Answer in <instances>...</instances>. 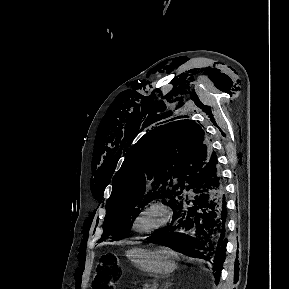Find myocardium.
<instances>
[{
    "instance_id": "1",
    "label": "myocardium",
    "mask_w": 289,
    "mask_h": 289,
    "mask_svg": "<svg viewBox=\"0 0 289 289\" xmlns=\"http://www.w3.org/2000/svg\"><path fill=\"white\" fill-rule=\"evenodd\" d=\"M151 210H158L161 213L160 223L157 224L156 226H153L152 228H149V229H139L137 226L138 221L140 220V218L143 215H145L147 212H149ZM171 216H172V211L166 203H164L162 201H152V202L146 204L138 212V214L134 218L132 228L135 232H137L139 234H144V235L153 234V233L165 228L169 224V222L171 220Z\"/></svg>"
}]
</instances>
